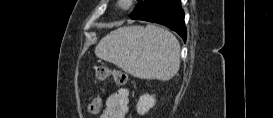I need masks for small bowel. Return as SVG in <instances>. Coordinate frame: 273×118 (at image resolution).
Listing matches in <instances>:
<instances>
[{"label": "small bowel", "instance_id": "obj_1", "mask_svg": "<svg viewBox=\"0 0 273 118\" xmlns=\"http://www.w3.org/2000/svg\"><path fill=\"white\" fill-rule=\"evenodd\" d=\"M128 108L129 91L120 88L107 97L102 118H125Z\"/></svg>", "mask_w": 273, "mask_h": 118}]
</instances>
